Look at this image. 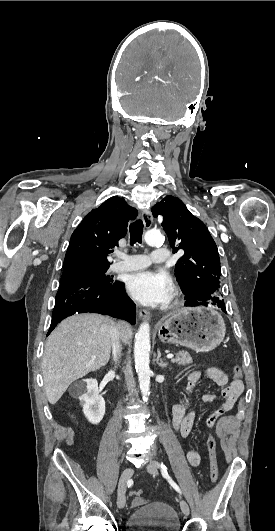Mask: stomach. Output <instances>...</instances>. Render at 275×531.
I'll return each instance as SVG.
<instances>
[{
    "mask_svg": "<svg viewBox=\"0 0 275 531\" xmlns=\"http://www.w3.org/2000/svg\"><path fill=\"white\" fill-rule=\"evenodd\" d=\"M162 343L182 345L196 353H209L222 343L226 327L220 313L210 307L180 309L157 325Z\"/></svg>",
    "mask_w": 275,
    "mask_h": 531,
    "instance_id": "obj_1",
    "label": "stomach"
}]
</instances>
